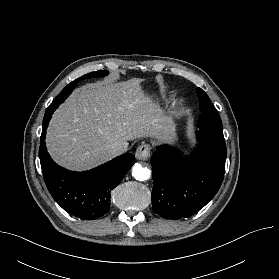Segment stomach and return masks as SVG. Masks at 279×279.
<instances>
[{"mask_svg": "<svg viewBox=\"0 0 279 279\" xmlns=\"http://www.w3.org/2000/svg\"><path fill=\"white\" fill-rule=\"evenodd\" d=\"M167 133L165 134V136H169L175 129V124L171 121V120H168L167 121Z\"/></svg>", "mask_w": 279, "mask_h": 279, "instance_id": "0dacf381", "label": "stomach"}]
</instances>
